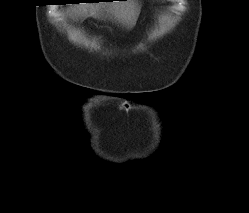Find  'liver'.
<instances>
[{"instance_id": "obj_1", "label": "liver", "mask_w": 249, "mask_h": 213, "mask_svg": "<svg viewBox=\"0 0 249 213\" xmlns=\"http://www.w3.org/2000/svg\"><path fill=\"white\" fill-rule=\"evenodd\" d=\"M72 12L80 17L90 16L100 17L106 12L107 15L114 17L117 21L132 28L138 18L140 6L135 0H129L126 3L94 4L81 5L71 8Z\"/></svg>"}]
</instances>
